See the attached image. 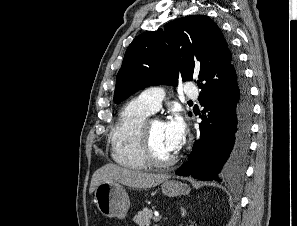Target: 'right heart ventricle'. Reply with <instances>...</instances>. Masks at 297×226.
<instances>
[{
  "instance_id": "e07e8e85",
  "label": "right heart ventricle",
  "mask_w": 297,
  "mask_h": 226,
  "mask_svg": "<svg viewBox=\"0 0 297 226\" xmlns=\"http://www.w3.org/2000/svg\"><path fill=\"white\" fill-rule=\"evenodd\" d=\"M151 113L138 99L129 101L120 111L110 132L111 155L119 165L129 169L146 167L140 149L139 130Z\"/></svg>"
}]
</instances>
